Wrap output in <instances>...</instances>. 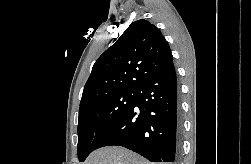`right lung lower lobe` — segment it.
<instances>
[{"mask_svg":"<svg viewBox=\"0 0 251 164\" xmlns=\"http://www.w3.org/2000/svg\"><path fill=\"white\" fill-rule=\"evenodd\" d=\"M182 124L173 63L148 77L133 106L100 140L96 149L122 146L151 162H178Z\"/></svg>","mask_w":251,"mask_h":164,"instance_id":"right-lung-lower-lobe-1","label":"right lung lower lobe"}]
</instances>
